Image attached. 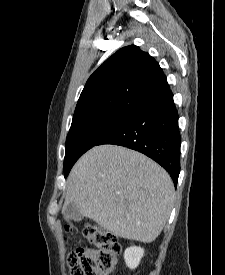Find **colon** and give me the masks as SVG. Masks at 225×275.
<instances>
[{"label":"colon","instance_id":"5ec220e1","mask_svg":"<svg viewBox=\"0 0 225 275\" xmlns=\"http://www.w3.org/2000/svg\"><path fill=\"white\" fill-rule=\"evenodd\" d=\"M83 234L91 246H82L68 256L70 275H111L121 251L117 237L97 224H87Z\"/></svg>","mask_w":225,"mask_h":275}]
</instances>
